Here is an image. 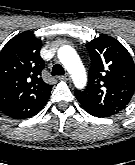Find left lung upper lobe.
Here are the masks:
<instances>
[{
	"label": "left lung upper lobe",
	"instance_id": "5c2ea615",
	"mask_svg": "<svg viewBox=\"0 0 135 165\" xmlns=\"http://www.w3.org/2000/svg\"><path fill=\"white\" fill-rule=\"evenodd\" d=\"M91 58L88 84L77 90L84 109L111 116L126 107L135 91V64L115 38L100 35L86 44Z\"/></svg>",
	"mask_w": 135,
	"mask_h": 165
}]
</instances>
